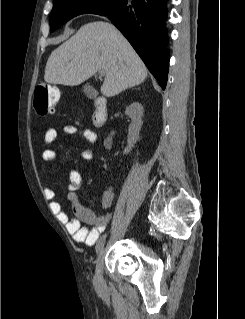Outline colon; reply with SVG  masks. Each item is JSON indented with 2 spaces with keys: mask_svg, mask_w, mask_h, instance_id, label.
Here are the masks:
<instances>
[{
  "mask_svg": "<svg viewBox=\"0 0 245 319\" xmlns=\"http://www.w3.org/2000/svg\"><path fill=\"white\" fill-rule=\"evenodd\" d=\"M60 97L55 86L39 84L34 92V109L40 116H46L53 111V108Z\"/></svg>",
  "mask_w": 245,
  "mask_h": 319,
  "instance_id": "1",
  "label": "colon"
}]
</instances>
